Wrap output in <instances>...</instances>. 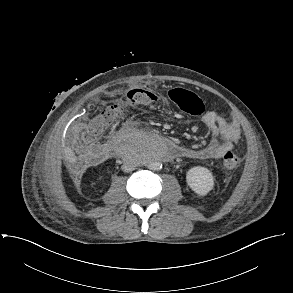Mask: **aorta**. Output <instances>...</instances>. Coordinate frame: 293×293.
<instances>
[{"label": "aorta", "mask_w": 293, "mask_h": 293, "mask_svg": "<svg viewBox=\"0 0 293 293\" xmlns=\"http://www.w3.org/2000/svg\"><path fill=\"white\" fill-rule=\"evenodd\" d=\"M167 141L163 138H156L153 144V150L156 152H162V149L167 147ZM151 170H160L162 168V164L159 161L151 162L148 165Z\"/></svg>", "instance_id": "1"}]
</instances>
